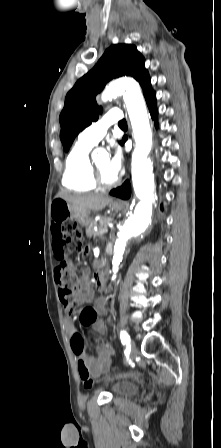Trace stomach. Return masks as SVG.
<instances>
[{
	"instance_id": "0dacf381",
	"label": "stomach",
	"mask_w": 221,
	"mask_h": 448,
	"mask_svg": "<svg viewBox=\"0 0 221 448\" xmlns=\"http://www.w3.org/2000/svg\"><path fill=\"white\" fill-rule=\"evenodd\" d=\"M58 199L53 202L54 205L58 204ZM67 211L71 215L72 218H74L81 226H88L92 220L89 216V212L82 211L73 208L70 204L66 203ZM110 208L114 212H120L125 208L124 203H117V202H111Z\"/></svg>"
}]
</instances>
